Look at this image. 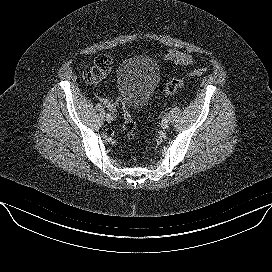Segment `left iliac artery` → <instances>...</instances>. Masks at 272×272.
Masks as SVG:
<instances>
[{"label":"left iliac artery","instance_id":"obj_1","mask_svg":"<svg viewBox=\"0 0 272 272\" xmlns=\"http://www.w3.org/2000/svg\"><path fill=\"white\" fill-rule=\"evenodd\" d=\"M169 117V116H168ZM168 117L166 116V117H164V119L163 120H167L168 119Z\"/></svg>","mask_w":272,"mask_h":272}]
</instances>
